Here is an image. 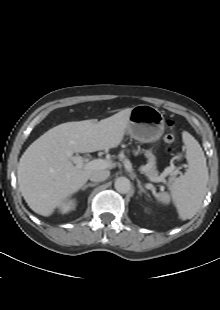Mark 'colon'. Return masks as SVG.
I'll use <instances>...</instances> for the list:
<instances>
[{
    "label": "colon",
    "mask_w": 220,
    "mask_h": 310,
    "mask_svg": "<svg viewBox=\"0 0 220 310\" xmlns=\"http://www.w3.org/2000/svg\"><path fill=\"white\" fill-rule=\"evenodd\" d=\"M168 128H169V132L165 135L164 137V141L167 145V150L171 151L172 150V146L176 140V134H175V130H174V122L173 121H168L167 123Z\"/></svg>",
    "instance_id": "1"
}]
</instances>
